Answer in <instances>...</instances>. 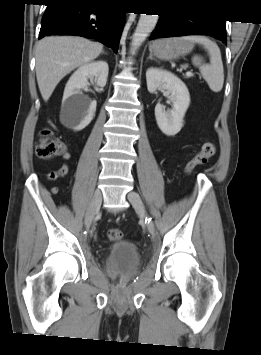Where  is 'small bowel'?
<instances>
[{
    "label": "small bowel",
    "mask_w": 261,
    "mask_h": 355,
    "mask_svg": "<svg viewBox=\"0 0 261 355\" xmlns=\"http://www.w3.org/2000/svg\"><path fill=\"white\" fill-rule=\"evenodd\" d=\"M70 157L69 153H66L64 158L68 159ZM69 171V166L66 163H63L57 170L52 171L50 173L47 174V179L50 181H54L60 177L65 176ZM53 191H57V188L54 187Z\"/></svg>",
    "instance_id": "obj_1"
}]
</instances>
